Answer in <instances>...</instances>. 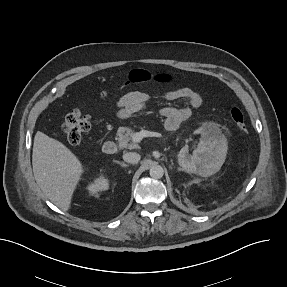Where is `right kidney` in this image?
I'll use <instances>...</instances> for the list:
<instances>
[{
  "instance_id": "right-kidney-1",
  "label": "right kidney",
  "mask_w": 287,
  "mask_h": 287,
  "mask_svg": "<svg viewBox=\"0 0 287 287\" xmlns=\"http://www.w3.org/2000/svg\"><path fill=\"white\" fill-rule=\"evenodd\" d=\"M109 181L103 176L95 179L93 183H91L87 189L91 195H98L99 192L108 190Z\"/></svg>"
}]
</instances>
